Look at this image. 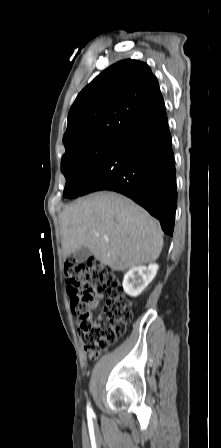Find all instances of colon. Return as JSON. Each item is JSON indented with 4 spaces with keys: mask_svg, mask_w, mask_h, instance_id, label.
<instances>
[{
    "mask_svg": "<svg viewBox=\"0 0 221 448\" xmlns=\"http://www.w3.org/2000/svg\"><path fill=\"white\" fill-rule=\"evenodd\" d=\"M72 313L79 317L77 333L87 352L97 358L124 334L132 318L131 305L123 297L114 272L97 259L68 261L65 266ZM105 298L102 312L93 319L92 305Z\"/></svg>",
    "mask_w": 221,
    "mask_h": 448,
    "instance_id": "1",
    "label": "colon"
}]
</instances>
